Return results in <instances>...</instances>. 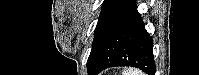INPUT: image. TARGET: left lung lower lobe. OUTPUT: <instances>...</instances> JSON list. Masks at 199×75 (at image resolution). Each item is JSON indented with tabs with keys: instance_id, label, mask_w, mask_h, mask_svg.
Segmentation results:
<instances>
[{
	"instance_id": "1",
	"label": "left lung lower lobe",
	"mask_w": 199,
	"mask_h": 75,
	"mask_svg": "<svg viewBox=\"0 0 199 75\" xmlns=\"http://www.w3.org/2000/svg\"><path fill=\"white\" fill-rule=\"evenodd\" d=\"M153 40L147 33L135 0H122L105 24L87 62L88 75L106 68L132 66L155 75Z\"/></svg>"
}]
</instances>
